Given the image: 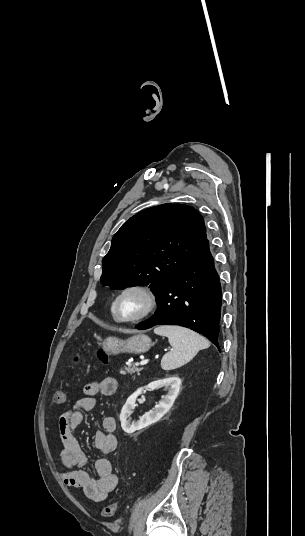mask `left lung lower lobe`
I'll use <instances>...</instances> for the list:
<instances>
[{
	"mask_svg": "<svg viewBox=\"0 0 305 536\" xmlns=\"http://www.w3.org/2000/svg\"><path fill=\"white\" fill-rule=\"evenodd\" d=\"M155 314L137 325L139 330L155 325H180L206 336L219 347L222 293L209 244L156 297Z\"/></svg>",
	"mask_w": 305,
	"mask_h": 536,
	"instance_id": "1",
	"label": "left lung lower lobe"
}]
</instances>
